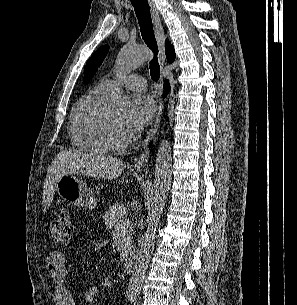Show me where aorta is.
I'll use <instances>...</instances> for the list:
<instances>
[{
    "label": "aorta",
    "mask_w": 297,
    "mask_h": 305,
    "mask_svg": "<svg viewBox=\"0 0 297 305\" xmlns=\"http://www.w3.org/2000/svg\"><path fill=\"white\" fill-rule=\"evenodd\" d=\"M149 56V51L145 47L125 45L117 56L116 71L120 74L129 73L146 62ZM126 106V98L120 88L117 87L110 96L108 107L113 112L120 114L126 110ZM171 167V145L167 139H162L156 155L155 179L147 216V229L137 254L126 292L127 296L131 298L140 293L148 263L154 250L160 216L171 186Z\"/></svg>",
    "instance_id": "762f6f07"
}]
</instances>
